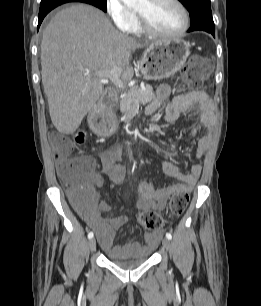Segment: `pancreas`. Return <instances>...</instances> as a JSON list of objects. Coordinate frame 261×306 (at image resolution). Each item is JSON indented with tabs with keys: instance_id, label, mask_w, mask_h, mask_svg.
<instances>
[{
	"instance_id": "obj_1",
	"label": "pancreas",
	"mask_w": 261,
	"mask_h": 306,
	"mask_svg": "<svg viewBox=\"0 0 261 306\" xmlns=\"http://www.w3.org/2000/svg\"><path fill=\"white\" fill-rule=\"evenodd\" d=\"M155 98L153 88L147 85L145 88L139 86L131 87L123 92L120 100V111L123 114H128L134 109H137L139 105H145Z\"/></svg>"
}]
</instances>
